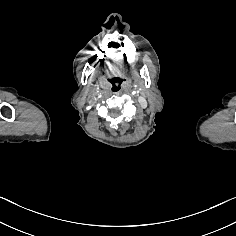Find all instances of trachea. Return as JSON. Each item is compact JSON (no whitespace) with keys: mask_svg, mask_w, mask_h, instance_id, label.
Returning a JSON list of instances; mask_svg holds the SVG:
<instances>
[{"mask_svg":"<svg viewBox=\"0 0 236 236\" xmlns=\"http://www.w3.org/2000/svg\"><path fill=\"white\" fill-rule=\"evenodd\" d=\"M111 91H112L114 94H119V93L122 91V86H121L119 83H114V84L111 86Z\"/></svg>","mask_w":236,"mask_h":236,"instance_id":"trachea-1","label":"trachea"}]
</instances>
